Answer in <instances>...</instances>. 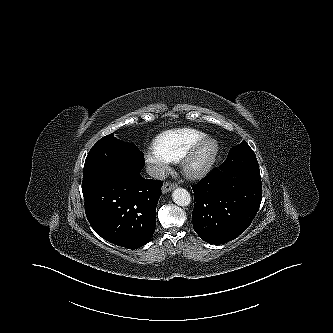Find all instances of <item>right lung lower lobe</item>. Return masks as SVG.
I'll list each match as a JSON object with an SVG mask.
<instances>
[{
	"mask_svg": "<svg viewBox=\"0 0 333 333\" xmlns=\"http://www.w3.org/2000/svg\"><path fill=\"white\" fill-rule=\"evenodd\" d=\"M163 182L145 179L139 171L111 174L82 184L85 213L103 239L137 249L155 231L156 206Z\"/></svg>",
	"mask_w": 333,
	"mask_h": 333,
	"instance_id": "obj_1",
	"label": "right lung lower lobe"
}]
</instances>
